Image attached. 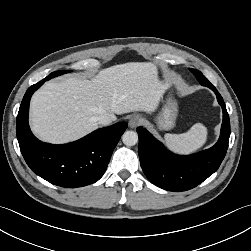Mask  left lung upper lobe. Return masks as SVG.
I'll use <instances>...</instances> for the list:
<instances>
[{
	"mask_svg": "<svg viewBox=\"0 0 251 251\" xmlns=\"http://www.w3.org/2000/svg\"><path fill=\"white\" fill-rule=\"evenodd\" d=\"M190 71L196 76V78L199 82H203V83L209 82L208 79L205 78L200 71H198L196 69H191V68H190Z\"/></svg>",
	"mask_w": 251,
	"mask_h": 251,
	"instance_id": "left-lung-upper-lobe-1",
	"label": "left lung upper lobe"
}]
</instances>
